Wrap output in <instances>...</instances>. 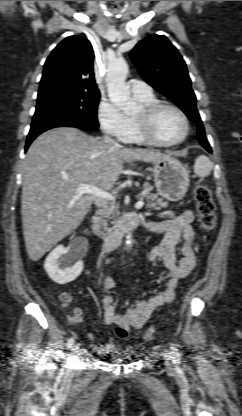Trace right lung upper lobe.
Returning a JSON list of instances; mask_svg holds the SVG:
<instances>
[{
    "label": "right lung upper lobe",
    "instance_id": "obj_1",
    "mask_svg": "<svg viewBox=\"0 0 242 416\" xmlns=\"http://www.w3.org/2000/svg\"><path fill=\"white\" fill-rule=\"evenodd\" d=\"M94 52L89 40L71 36L52 51L44 64L38 95L56 90L99 93L93 72Z\"/></svg>",
    "mask_w": 242,
    "mask_h": 416
}]
</instances>
